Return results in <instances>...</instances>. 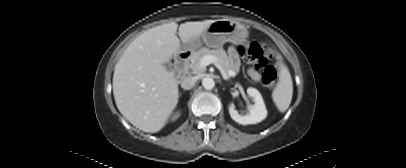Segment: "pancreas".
<instances>
[{
    "label": "pancreas",
    "instance_id": "1",
    "mask_svg": "<svg viewBox=\"0 0 406 168\" xmlns=\"http://www.w3.org/2000/svg\"><path fill=\"white\" fill-rule=\"evenodd\" d=\"M205 55H212L217 58V63L221 66L223 71L228 75L230 70L233 71L231 60L223 48H218L215 50H210L209 48H201L200 50L194 52L190 58V63L187 68L192 70V73L196 74L203 71L199 63L202 57Z\"/></svg>",
    "mask_w": 406,
    "mask_h": 168
}]
</instances>
